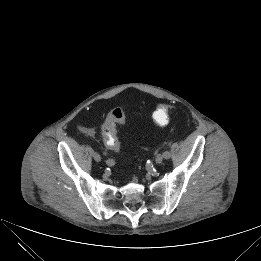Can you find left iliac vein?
Listing matches in <instances>:
<instances>
[{
  "instance_id": "obj_1",
  "label": "left iliac vein",
  "mask_w": 261,
  "mask_h": 261,
  "mask_svg": "<svg viewBox=\"0 0 261 261\" xmlns=\"http://www.w3.org/2000/svg\"><path fill=\"white\" fill-rule=\"evenodd\" d=\"M163 154H158L157 156H156V159H155V162L157 163V164H160L162 161H163Z\"/></svg>"
}]
</instances>
